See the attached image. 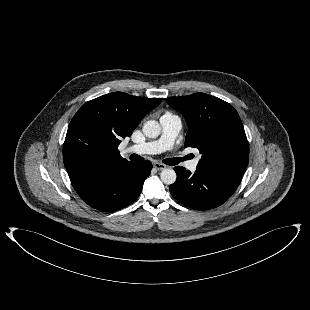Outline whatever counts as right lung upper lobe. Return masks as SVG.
I'll list each match as a JSON object with an SVG mask.
<instances>
[{"label": "right lung upper lobe", "instance_id": "1", "mask_svg": "<svg viewBox=\"0 0 310 310\" xmlns=\"http://www.w3.org/2000/svg\"><path fill=\"white\" fill-rule=\"evenodd\" d=\"M161 101L113 92L85 103L71 120L63 145L69 178L129 162L119 155L121 140Z\"/></svg>", "mask_w": 310, "mask_h": 310}]
</instances>
